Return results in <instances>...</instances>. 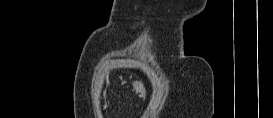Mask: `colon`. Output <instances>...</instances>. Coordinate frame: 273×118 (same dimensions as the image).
<instances>
[{
	"label": "colon",
	"instance_id": "5ec220e1",
	"mask_svg": "<svg viewBox=\"0 0 273 118\" xmlns=\"http://www.w3.org/2000/svg\"><path fill=\"white\" fill-rule=\"evenodd\" d=\"M132 86L134 90L138 93L139 97L141 99H144L146 96V91L142 82L136 80L132 83Z\"/></svg>",
	"mask_w": 273,
	"mask_h": 118
}]
</instances>
